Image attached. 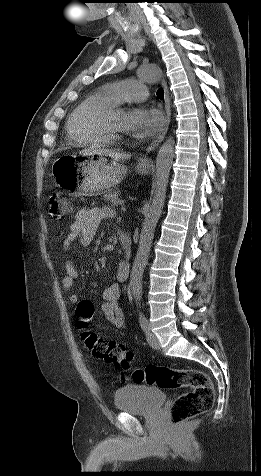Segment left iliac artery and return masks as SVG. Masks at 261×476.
I'll use <instances>...</instances> for the list:
<instances>
[{
    "mask_svg": "<svg viewBox=\"0 0 261 476\" xmlns=\"http://www.w3.org/2000/svg\"><path fill=\"white\" fill-rule=\"evenodd\" d=\"M139 321L143 331H146L148 327V320L142 312L139 313Z\"/></svg>",
    "mask_w": 261,
    "mask_h": 476,
    "instance_id": "44dca946",
    "label": "left iliac artery"
}]
</instances>
